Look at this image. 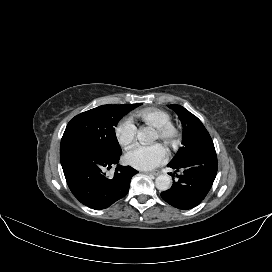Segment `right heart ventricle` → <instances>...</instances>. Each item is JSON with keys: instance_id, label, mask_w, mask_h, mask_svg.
I'll return each instance as SVG.
<instances>
[{"instance_id": "1", "label": "right heart ventricle", "mask_w": 272, "mask_h": 272, "mask_svg": "<svg viewBox=\"0 0 272 272\" xmlns=\"http://www.w3.org/2000/svg\"><path fill=\"white\" fill-rule=\"evenodd\" d=\"M133 117L154 128L171 122V115L167 111L155 107H148L133 113Z\"/></svg>"}]
</instances>
